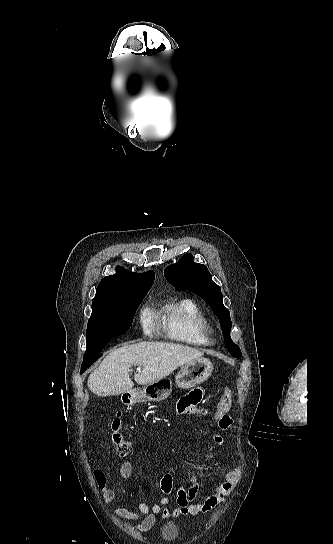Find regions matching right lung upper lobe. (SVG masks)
I'll use <instances>...</instances> for the list:
<instances>
[{
	"label": "right lung upper lobe",
	"mask_w": 333,
	"mask_h": 544,
	"mask_svg": "<svg viewBox=\"0 0 333 544\" xmlns=\"http://www.w3.org/2000/svg\"><path fill=\"white\" fill-rule=\"evenodd\" d=\"M154 278L153 271L138 274L117 266L114 275L100 281L93 302L129 297L148 291Z\"/></svg>",
	"instance_id": "right-lung-upper-lobe-1"
}]
</instances>
